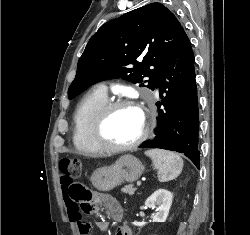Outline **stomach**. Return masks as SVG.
<instances>
[{"label": "stomach", "mask_w": 250, "mask_h": 235, "mask_svg": "<svg viewBox=\"0 0 250 235\" xmlns=\"http://www.w3.org/2000/svg\"><path fill=\"white\" fill-rule=\"evenodd\" d=\"M144 166L133 155L121 156L113 165L97 169L92 177L93 186L102 192H109L122 182H134L142 175Z\"/></svg>", "instance_id": "obj_1"}]
</instances>
